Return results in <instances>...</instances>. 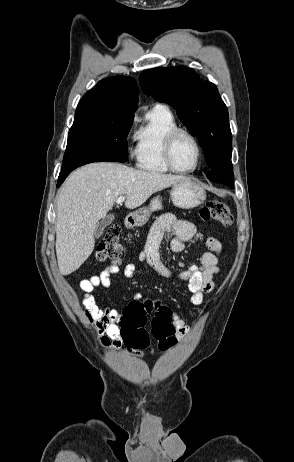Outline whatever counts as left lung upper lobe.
<instances>
[{"mask_svg":"<svg viewBox=\"0 0 294 462\" xmlns=\"http://www.w3.org/2000/svg\"><path fill=\"white\" fill-rule=\"evenodd\" d=\"M139 82L147 95L176 110L180 121L198 139L210 169H232L228 110L213 83L181 66L145 70Z\"/></svg>","mask_w":294,"mask_h":462,"instance_id":"5c2ea615","label":"left lung upper lobe"}]
</instances>
